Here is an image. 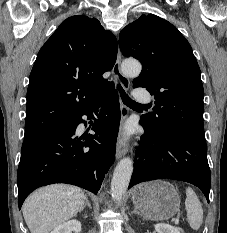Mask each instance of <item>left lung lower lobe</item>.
I'll return each instance as SVG.
<instances>
[{"instance_id": "1", "label": "left lung lower lobe", "mask_w": 227, "mask_h": 233, "mask_svg": "<svg viewBox=\"0 0 227 233\" xmlns=\"http://www.w3.org/2000/svg\"><path fill=\"white\" fill-rule=\"evenodd\" d=\"M140 124L143 126L142 121ZM143 128L139 144L144 154L147 152V161H135L128 188L156 179L180 180L200 188L209 202L211 173L206 143L178 131L168 130L156 136Z\"/></svg>"}]
</instances>
